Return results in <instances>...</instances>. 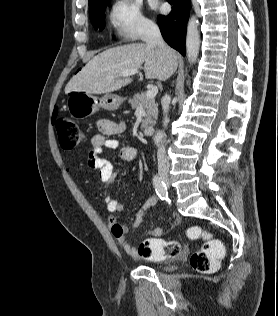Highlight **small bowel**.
<instances>
[{
	"instance_id": "small-bowel-1",
	"label": "small bowel",
	"mask_w": 278,
	"mask_h": 316,
	"mask_svg": "<svg viewBox=\"0 0 278 316\" xmlns=\"http://www.w3.org/2000/svg\"><path fill=\"white\" fill-rule=\"evenodd\" d=\"M99 133L91 137L92 150L86 156V165L89 169L97 172L100 182L104 185H109L118 176V171L114 168L112 163L105 158L100 157L106 149H118L119 156L123 161L132 162L137 158L138 151L135 147L129 145H121L117 139L111 138L114 135L121 134L125 130V122L122 119L112 121L109 119H99L97 121ZM105 204L110 216L108 217L107 224L110 228L117 243L123 250L131 256H140L138 249L133 247L126 239L129 228L126 225L120 224L117 221L115 213L123 211V205L115 198H113L107 188L103 191ZM158 203V197L151 195L144 202L141 209L135 216L133 229H138L145 216L147 210ZM174 222L179 223V218L174 216ZM163 233V228L158 226L151 228L148 235L151 237H159Z\"/></svg>"
}]
</instances>
